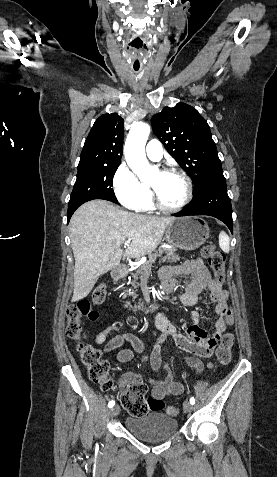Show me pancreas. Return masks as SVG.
<instances>
[{"label":"pancreas","instance_id":"cf45deb5","mask_svg":"<svg viewBox=\"0 0 277 477\" xmlns=\"http://www.w3.org/2000/svg\"><path fill=\"white\" fill-rule=\"evenodd\" d=\"M162 253H165V256L161 257ZM160 256L161 259L160 261L162 262H176L180 260V257L175 254L174 249H159L155 251L154 253L149 254L148 260L146 263L142 264L136 271V273L132 274L133 281L131 282V285L134 288H137L140 286V283L138 282V279H142L144 277H149L150 276V268L152 264L156 261V258ZM129 295L133 296L134 298L136 295L131 292Z\"/></svg>","mask_w":277,"mask_h":477}]
</instances>
